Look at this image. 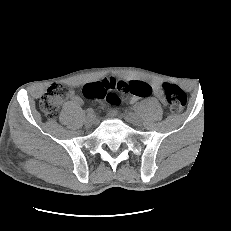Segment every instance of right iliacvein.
I'll list each match as a JSON object with an SVG mask.
<instances>
[{
    "label": "right iliac vein",
    "instance_id": "obj_1",
    "mask_svg": "<svg viewBox=\"0 0 231 231\" xmlns=\"http://www.w3.org/2000/svg\"><path fill=\"white\" fill-rule=\"evenodd\" d=\"M95 122H96V118L94 117V115H88L85 119V124L88 126L94 124Z\"/></svg>",
    "mask_w": 231,
    "mask_h": 231
}]
</instances>
